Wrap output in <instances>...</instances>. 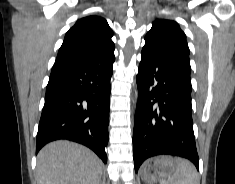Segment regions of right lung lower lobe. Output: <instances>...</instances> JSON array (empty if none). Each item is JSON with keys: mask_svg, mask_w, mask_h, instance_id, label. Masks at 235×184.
<instances>
[{"mask_svg": "<svg viewBox=\"0 0 235 184\" xmlns=\"http://www.w3.org/2000/svg\"><path fill=\"white\" fill-rule=\"evenodd\" d=\"M114 60L53 65L39 122L36 154L51 141L67 139L89 147L107 162L105 146Z\"/></svg>", "mask_w": 235, "mask_h": 184, "instance_id": "right-lung-lower-lobe-1", "label": "right lung lower lobe"}]
</instances>
